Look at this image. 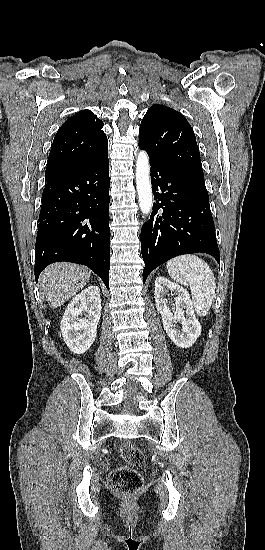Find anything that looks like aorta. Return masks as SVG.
I'll list each match as a JSON object with an SVG mask.
<instances>
[{
    "label": "aorta",
    "instance_id": "1",
    "mask_svg": "<svg viewBox=\"0 0 265 550\" xmlns=\"http://www.w3.org/2000/svg\"><path fill=\"white\" fill-rule=\"evenodd\" d=\"M136 186L139 199V206L144 215L152 210L153 194L150 182L149 157L145 151L138 153L136 162Z\"/></svg>",
    "mask_w": 265,
    "mask_h": 550
}]
</instances>
